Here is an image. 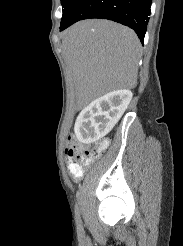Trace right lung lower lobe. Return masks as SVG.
<instances>
[{"label":"right lung lower lobe","instance_id":"right-lung-lower-lobe-1","mask_svg":"<svg viewBox=\"0 0 183 246\" xmlns=\"http://www.w3.org/2000/svg\"><path fill=\"white\" fill-rule=\"evenodd\" d=\"M151 3L152 0H80L67 20L60 24V30L79 20L102 18L132 28L143 43Z\"/></svg>","mask_w":183,"mask_h":246}]
</instances>
